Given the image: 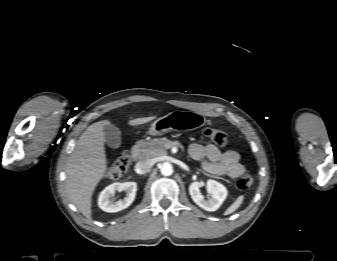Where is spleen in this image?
Returning <instances> with one entry per match:
<instances>
[{"label": "spleen", "instance_id": "3e777b00", "mask_svg": "<svg viewBox=\"0 0 337 261\" xmlns=\"http://www.w3.org/2000/svg\"><path fill=\"white\" fill-rule=\"evenodd\" d=\"M243 200H244V196L243 195H241V196H239L228 208H227V210L225 211V215H229V214H231V213H233V212H235L239 207H240V205L242 204V202H243Z\"/></svg>", "mask_w": 337, "mask_h": 261}]
</instances>
